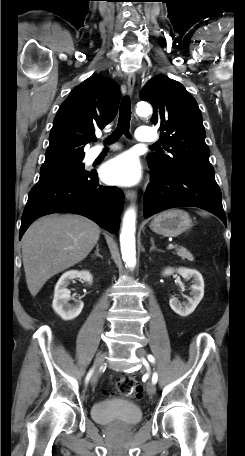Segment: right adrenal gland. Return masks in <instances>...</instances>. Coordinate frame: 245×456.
Masks as SVG:
<instances>
[{
	"label": "right adrenal gland",
	"mask_w": 245,
	"mask_h": 456,
	"mask_svg": "<svg viewBox=\"0 0 245 456\" xmlns=\"http://www.w3.org/2000/svg\"><path fill=\"white\" fill-rule=\"evenodd\" d=\"M93 256H97V257L102 258V255H100V253H99V244H96V251H95Z\"/></svg>",
	"instance_id": "1"
}]
</instances>
